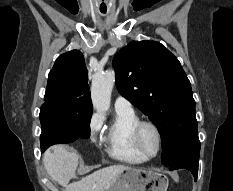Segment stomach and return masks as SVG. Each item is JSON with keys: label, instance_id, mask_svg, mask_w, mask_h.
<instances>
[{"label": "stomach", "instance_id": "stomach-1", "mask_svg": "<svg viewBox=\"0 0 233 191\" xmlns=\"http://www.w3.org/2000/svg\"><path fill=\"white\" fill-rule=\"evenodd\" d=\"M169 180L151 169L128 167L102 191H167Z\"/></svg>", "mask_w": 233, "mask_h": 191}]
</instances>
